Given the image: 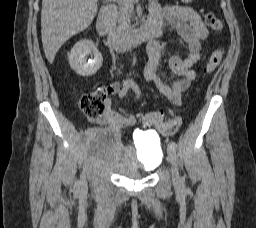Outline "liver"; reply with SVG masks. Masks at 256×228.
<instances>
[{
  "mask_svg": "<svg viewBox=\"0 0 256 228\" xmlns=\"http://www.w3.org/2000/svg\"><path fill=\"white\" fill-rule=\"evenodd\" d=\"M97 11V0H42L41 36L49 63L68 39L89 27Z\"/></svg>",
  "mask_w": 256,
  "mask_h": 228,
  "instance_id": "obj_1",
  "label": "liver"
}]
</instances>
